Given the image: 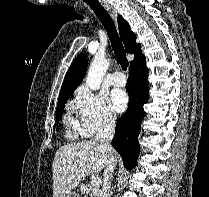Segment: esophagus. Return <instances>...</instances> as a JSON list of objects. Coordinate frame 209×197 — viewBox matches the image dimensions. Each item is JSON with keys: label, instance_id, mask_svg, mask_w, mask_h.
Masks as SVG:
<instances>
[{"label": "esophagus", "instance_id": "34e87169", "mask_svg": "<svg viewBox=\"0 0 209 197\" xmlns=\"http://www.w3.org/2000/svg\"><path fill=\"white\" fill-rule=\"evenodd\" d=\"M104 8L108 11V13L112 16L114 20L117 18V11L116 9L109 3L104 0H100Z\"/></svg>", "mask_w": 209, "mask_h": 197}]
</instances>
